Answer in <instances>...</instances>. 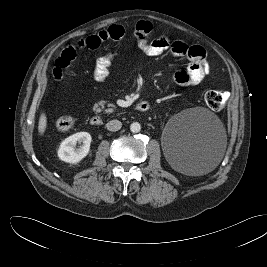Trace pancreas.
<instances>
[{"mask_svg": "<svg viewBox=\"0 0 267 267\" xmlns=\"http://www.w3.org/2000/svg\"><path fill=\"white\" fill-rule=\"evenodd\" d=\"M105 104H107V107H109L108 109L105 110L106 113L112 112L113 109L116 108V106L114 104L107 103L106 101L101 100L98 104H95L94 105V110L96 112H100L101 109H104L105 108V106H104Z\"/></svg>", "mask_w": 267, "mask_h": 267, "instance_id": "1", "label": "pancreas"}]
</instances>
